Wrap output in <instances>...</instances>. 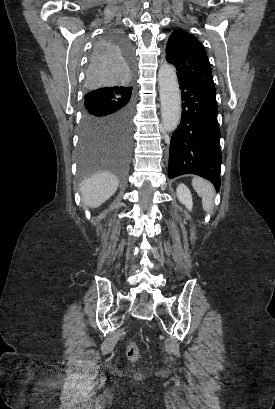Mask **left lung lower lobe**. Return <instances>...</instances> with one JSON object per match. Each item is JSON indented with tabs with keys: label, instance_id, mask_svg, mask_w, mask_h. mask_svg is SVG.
<instances>
[{
	"label": "left lung lower lobe",
	"instance_id": "0a47b994",
	"mask_svg": "<svg viewBox=\"0 0 275 409\" xmlns=\"http://www.w3.org/2000/svg\"><path fill=\"white\" fill-rule=\"evenodd\" d=\"M181 123L171 137L168 177L196 174L220 187L221 150L215 90L179 79Z\"/></svg>",
	"mask_w": 275,
	"mask_h": 409
}]
</instances>
